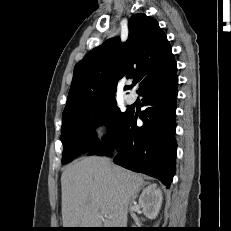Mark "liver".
Returning <instances> with one entry per match:
<instances>
[{"mask_svg":"<svg viewBox=\"0 0 231 231\" xmlns=\"http://www.w3.org/2000/svg\"><path fill=\"white\" fill-rule=\"evenodd\" d=\"M143 178L103 157H84L61 176L64 228H125Z\"/></svg>","mask_w":231,"mask_h":231,"instance_id":"liver-1","label":"liver"}]
</instances>
